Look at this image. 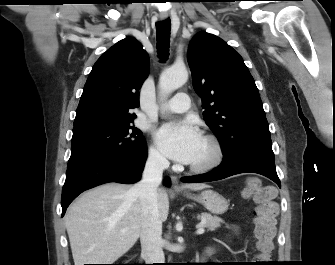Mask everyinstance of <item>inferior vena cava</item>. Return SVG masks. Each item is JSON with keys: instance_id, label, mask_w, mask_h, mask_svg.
Instances as JSON below:
<instances>
[{"instance_id": "602c4592", "label": "inferior vena cava", "mask_w": 335, "mask_h": 265, "mask_svg": "<svg viewBox=\"0 0 335 265\" xmlns=\"http://www.w3.org/2000/svg\"><path fill=\"white\" fill-rule=\"evenodd\" d=\"M168 160L159 153L149 154L142 179L133 187L140 199L142 222L140 241L142 256L148 264L164 263L162 221L159 216L157 189Z\"/></svg>"}]
</instances>
